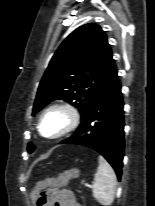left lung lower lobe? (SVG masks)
<instances>
[{"instance_id": "obj_1", "label": "left lung lower lobe", "mask_w": 155, "mask_h": 206, "mask_svg": "<svg viewBox=\"0 0 155 206\" xmlns=\"http://www.w3.org/2000/svg\"><path fill=\"white\" fill-rule=\"evenodd\" d=\"M123 105L116 72L84 112L76 132L60 142L93 148L111 164L119 180L124 156Z\"/></svg>"}]
</instances>
